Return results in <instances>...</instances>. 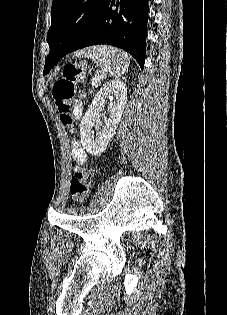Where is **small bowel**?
<instances>
[{
  "instance_id": "obj_1",
  "label": "small bowel",
  "mask_w": 227,
  "mask_h": 315,
  "mask_svg": "<svg viewBox=\"0 0 227 315\" xmlns=\"http://www.w3.org/2000/svg\"><path fill=\"white\" fill-rule=\"evenodd\" d=\"M75 111L77 114L80 112L78 107L75 108ZM71 156L74 162L78 165H82L86 161V153L77 140L71 142Z\"/></svg>"
}]
</instances>
